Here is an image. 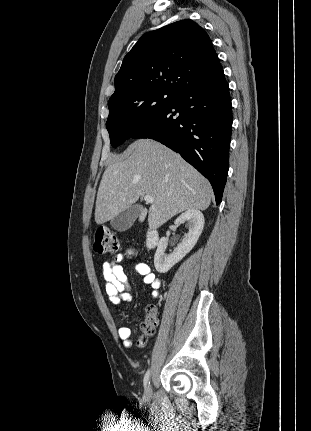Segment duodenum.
<instances>
[{
  "label": "duodenum",
  "mask_w": 311,
  "mask_h": 431,
  "mask_svg": "<svg viewBox=\"0 0 311 431\" xmlns=\"http://www.w3.org/2000/svg\"><path fill=\"white\" fill-rule=\"evenodd\" d=\"M159 241V234L156 229H149L146 234V246L153 249L157 246Z\"/></svg>",
  "instance_id": "1"
}]
</instances>
